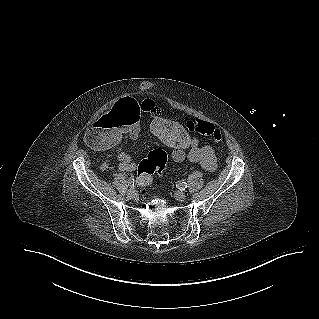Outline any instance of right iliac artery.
Segmentation results:
<instances>
[{
    "instance_id": "right-iliac-artery-1",
    "label": "right iliac artery",
    "mask_w": 319,
    "mask_h": 319,
    "mask_svg": "<svg viewBox=\"0 0 319 319\" xmlns=\"http://www.w3.org/2000/svg\"><path fill=\"white\" fill-rule=\"evenodd\" d=\"M128 185H129V186H134V179H133V178H130V179L128 180Z\"/></svg>"
}]
</instances>
